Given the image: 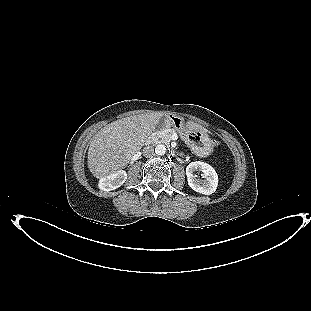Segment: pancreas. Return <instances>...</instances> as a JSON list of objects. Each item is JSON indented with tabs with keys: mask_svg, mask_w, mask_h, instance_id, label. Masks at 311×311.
I'll return each mask as SVG.
<instances>
[{
	"mask_svg": "<svg viewBox=\"0 0 311 311\" xmlns=\"http://www.w3.org/2000/svg\"><path fill=\"white\" fill-rule=\"evenodd\" d=\"M175 131L173 129H164L157 131L153 136V141H159L163 143H169L171 141V136Z\"/></svg>",
	"mask_w": 311,
	"mask_h": 311,
	"instance_id": "pancreas-1",
	"label": "pancreas"
}]
</instances>
